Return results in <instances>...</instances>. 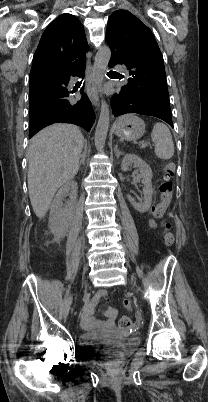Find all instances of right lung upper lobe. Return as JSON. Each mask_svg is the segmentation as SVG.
I'll use <instances>...</instances> for the list:
<instances>
[{
  "label": "right lung upper lobe",
  "instance_id": "cb5924a9",
  "mask_svg": "<svg viewBox=\"0 0 208 402\" xmlns=\"http://www.w3.org/2000/svg\"><path fill=\"white\" fill-rule=\"evenodd\" d=\"M84 26L71 14L58 16L42 34L33 56L31 76L70 75L88 52Z\"/></svg>",
  "mask_w": 208,
  "mask_h": 402
}]
</instances>
